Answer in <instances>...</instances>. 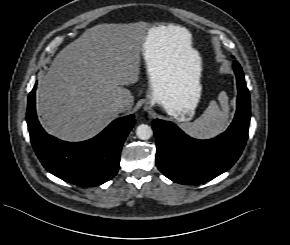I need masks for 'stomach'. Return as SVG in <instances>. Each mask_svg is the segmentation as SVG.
<instances>
[{"instance_id":"1","label":"stomach","mask_w":290,"mask_h":245,"mask_svg":"<svg viewBox=\"0 0 290 245\" xmlns=\"http://www.w3.org/2000/svg\"><path fill=\"white\" fill-rule=\"evenodd\" d=\"M158 28L148 34L142 48L149 86L146 104L148 107L161 105L178 123L184 124L193 118L201 96V60L199 58L200 71L197 74L173 73L164 50L158 45Z\"/></svg>"}]
</instances>
